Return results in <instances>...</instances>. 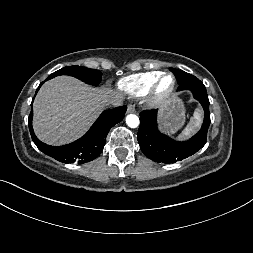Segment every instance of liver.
I'll use <instances>...</instances> for the list:
<instances>
[{
	"label": "liver",
	"instance_id": "1",
	"mask_svg": "<svg viewBox=\"0 0 253 253\" xmlns=\"http://www.w3.org/2000/svg\"><path fill=\"white\" fill-rule=\"evenodd\" d=\"M110 99L122 94L108 87L93 88L82 81L59 76L46 82L34 104L33 128L49 145H63L80 137Z\"/></svg>",
	"mask_w": 253,
	"mask_h": 253
}]
</instances>
